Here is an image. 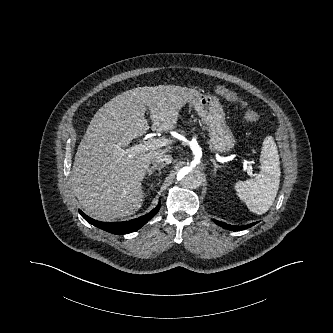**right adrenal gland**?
<instances>
[{"instance_id": "obj_1", "label": "right adrenal gland", "mask_w": 333, "mask_h": 333, "mask_svg": "<svg viewBox=\"0 0 333 333\" xmlns=\"http://www.w3.org/2000/svg\"><path fill=\"white\" fill-rule=\"evenodd\" d=\"M164 168L163 165L161 166H152L149 170H148V176H151L155 171H158L159 175L161 174V169ZM160 181V180H159ZM158 184V183H157ZM153 189V188H152Z\"/></svg>"}]
</instances>
